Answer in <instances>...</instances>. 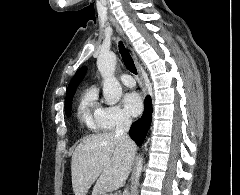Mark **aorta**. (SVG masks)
<instances>
[{
  "label": "aorta",
  "mask_w": 240,
  "mask_h": 195,
  "mask_svg": "<svg viewBox=\"0 0 240 195\" xmlns=\"http://www.w3.org/2000/svg\"><path fill=\"white\" fill-rule=\"evenodd\" d=\"M116 56L114 52H103L97 58V68L103 78V96L107 103L113 105L117 103L122 96L120 82L115 78ZM141 171H143V157H138L136 163V179L138 181Z\"/></svg>",
  "instance_id": "obj_1"
}]
</instances>
